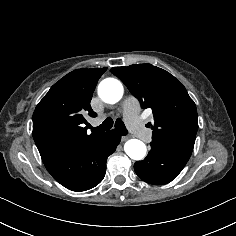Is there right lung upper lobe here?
Wrapping results in <instances>:
<instances>
[{
    "mask_svg": "<svg viewBox=\"0 0 236 236\" xmlns=\"http://www.w3.org/2000/svg\"><path fill=\"white\" fill-rule=\"evenodd\" d=\"M107 68L77 69L54 84L36 106L33 138L42 160L93 140L104 132L87 134L83 114L96 117L90 101L97 81Z\"/></svg>",
    "mask_w": 236,
    "mask_h": 236,
    "instance_id": "cb5924a9",
    "label": "right lung upper lobe"
}]
</instances>
